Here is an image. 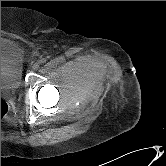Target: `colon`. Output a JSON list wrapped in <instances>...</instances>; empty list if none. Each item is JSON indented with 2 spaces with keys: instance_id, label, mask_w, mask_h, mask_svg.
I'll return each instance as SVG.
<instances>
[{
  "instance_id": "obj_1",
  "label": "colon",
  "mask_w": 166,
  "mask_h": 166,
  "mask_svg": "<svg viewBox=\"0 0 166 166\" xmlns=\"http://www.w3.org/2000/svg\"><path fill=\"white\" fill-rule=\"evenodd\" d=\"M7 113H8V104L3 98H1V119H3Z\"/></svg>"
}]
</instances>
